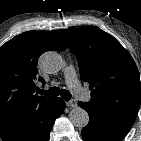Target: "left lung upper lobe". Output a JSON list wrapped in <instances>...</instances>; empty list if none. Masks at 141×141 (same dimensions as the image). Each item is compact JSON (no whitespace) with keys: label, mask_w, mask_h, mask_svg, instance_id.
Masks as SVG:
<instances>
[{"label":"left lung upper lobe","mask_w":141,"mask_h":141,"mask_svg":"<svg viewBox=\"0 0 141 141\" xmlns=\"http://www.w3.org/2000/svg\"><path fill=\"white\" fill-rule=\"evenodd\" d=\"M79 61L83 81L93 88L90 106L114 115H136L141 83L131 55L110 34L94 27L61 30Z\"/></svg>","instance_id":"1"}]
</instances>
